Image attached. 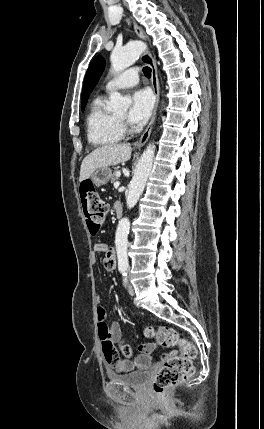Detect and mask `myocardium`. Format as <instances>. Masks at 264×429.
<instances>
[{"mask_svg":"<svg viewBox=\"0 0 264 429\" xmlns=\"http://www.w3.org/2000/svg\"><path fill=\"white\" fill-rule=\"evenodd\" d=\"M116 119H117V121L119 122V124H120L121 126H123L124 119H121V118H118V117H116Z\"/></svg>","mask_w":264,"mask_h":429,"instance_id":"1","label":"myocardium"}]
</instances>
